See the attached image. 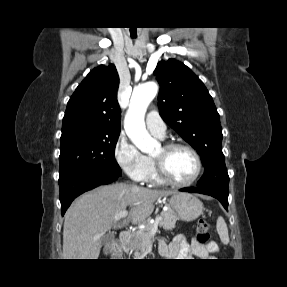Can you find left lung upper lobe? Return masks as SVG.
Masks as SVG:
<instances>
[{"label": "left lung upper lobe", "instance_id": "obj_1", "mask_svg": "<svg viewBox=\"0 0 287 287\" xmlns=\"http://www.w3.org/2000/svg\"><path fill=\"white\" fill-rule=\"evenodd\" d=\"M154 75L160 84L161 117L201 157L205 173L197 186L229 192L220 116L205 85L190 68L175 59L160 61Z\"/></svg>", "mask_w": 287, "mask_h": 287}]
</instances>
